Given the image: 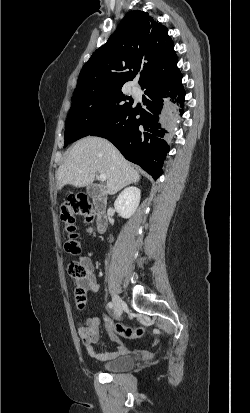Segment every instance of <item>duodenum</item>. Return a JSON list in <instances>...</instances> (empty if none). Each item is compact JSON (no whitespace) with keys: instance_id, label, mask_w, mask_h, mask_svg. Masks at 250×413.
Returning <instances> with one entry per match:
<instances>
[{"instance_id":"duodenum-1","label":"duodenum","mask_w":250,"mask_h":413,"mask_svg":"<svg viewBox=\"0 0 250 413\" xmlns=\"http://www.w3.org/2000/svg\"><path fill=\"white\" fill-rule=\"evenodd\" d=\"M93 202L96 210V230L102 233L108 226L107 202L102 195L94 196Z\"/></svg>"}]
</instances>
